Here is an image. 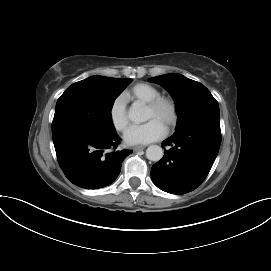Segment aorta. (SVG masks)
<instances>
[{
  "instance_id": "762f6f07",
  "label": "aorta",
  "mask_w": 271,
  "mask_h": 271,
  "mask_svg": "<svg viewBox=\"0 0 271 271\" xmlns=\"http://www.w3.org/2000/svg\"><path fill=\"white\" fill-rule=\"evenodd\" d=\"M128 118L138 124L148 120V115L146 110L138 103H133L129 112ZM164 153L160 146L158 145H151L146 150V157L154 162H158L162 159Z\"/></svg>"
}]
</instances>
